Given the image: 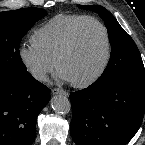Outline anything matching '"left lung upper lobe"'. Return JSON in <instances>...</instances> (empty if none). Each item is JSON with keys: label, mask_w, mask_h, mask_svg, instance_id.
<instances>
[{"label": "left lung upper lobe", "mask_w": 145, "mask_h": 145, "mask_svg": "<svg viewBox=\"0 0 145 145\" xmlns=\"http://www.w3.org/2000/svg\"><path fill=\"white\" fill-rule=\"evenodd\" d=\"M79 8L97 12L108 29L111 56L106 69L95 83L104 85L122 77L145 74L143 61L135 42L115 17L100 5H79Z\"/></svg>", "instance_id": "obj_1"}]
</instances>
